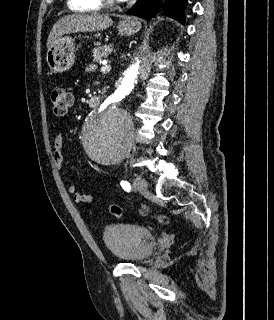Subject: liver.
Masks as SVG:
<instances>
[{"instance_id":"6515ba94","label":"liver","mask_w":274,"mask_h":320,"mask_svg":"<svg viewBox=\"0 0 274 320\" xmlns=\"http://www.w3.org/2000/svg\"><path fill=\"white\" fill-rule=\"evenodd\" d=\"M113 26L112 18L102 14H70L63 16L54 24L48 38L47 48L54 46L64 34H75V32H101Z\"/></svg>"}]
</instances>
